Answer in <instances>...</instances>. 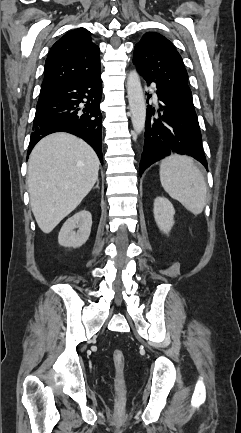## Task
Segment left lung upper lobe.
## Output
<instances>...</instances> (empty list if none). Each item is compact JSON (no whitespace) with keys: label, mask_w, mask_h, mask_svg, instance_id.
Masks as SVG:
<instances>
[{"label":"left lung upper lobe","mask_w":241,"mask_h":433,"mask_svg":"<svg viewBox=\"0 0 241 433\" xmlns=\"http://www.w3.org/2000/svg\"><path fill=\"white\" fill-rule=\"evenodd\" d=\"M133 63L144 78L156 83L193 121L198 123L182 57L159 33L148 32L134 47Z\"/></svg>","instance_id":"5c2ea615"}]
</instances>
